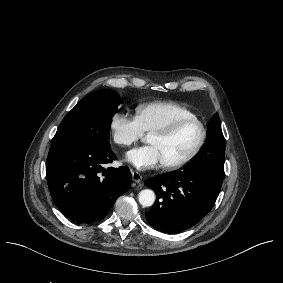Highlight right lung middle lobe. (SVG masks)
Returning a JSON list of instances; mask_svg holds the SVG:
<instances>
[{"mask_svg": "<svg viewBox=\"0 0 283 283\" xmlns=\"http://www.w3.org/2000/svg\"><path fill=\"white\" fill-rule=\"evenodd\" d=\"M120 102V96L112 90L88 95L65 116L51 145L83 143L110 149L112 117Z\"/></svg>", "mask_w": 283, "mask_h": 283, "instance_id": "obj_1", "label": "right lung middle lobe"}]
</instances>
